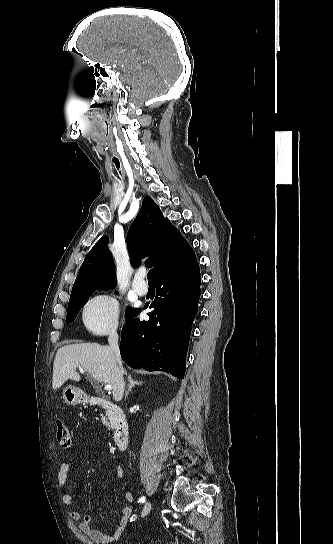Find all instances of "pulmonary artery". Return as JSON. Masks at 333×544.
Instances as JSON below:
<instances>
[{
    "instance_id": "pulmonary-artery-1",
    "label": "pulmonary artery",
    "mask_w": 333,
    "mask_h": 544,
    "mask_svg": "<svg viewBox=\"0 0 333 544\" xmlns=\"http://www.w3.org/2000/svg\"><path fill=\"white\" fill-rule=\"evenodd\" d=\"M144 276V272H138L132 283L134 291L139 295H145L148 292V285L144 281Z\"/></svg>"
}]
</instances>
